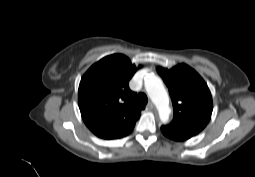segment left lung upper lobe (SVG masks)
<instances>
[{
  "label": "left lung upper lobe",
  "mask_w": 255,
  "mask_h": 177,
  "mask_svg": "<svg viewBox=\"0 0 255 177\" xmlns=\"http://www.w3.org/2000/svg\"><path fill=\"white\" fill-rule=\"evenodd\" d=\"M173 104L174 118L162 133L176 141L187 140L200 133L208 124L213 110L210 90L201 76L186 64L172 69L158 67Z\"/></svg>",
  "instance_id": "1"
}]
</instances>
